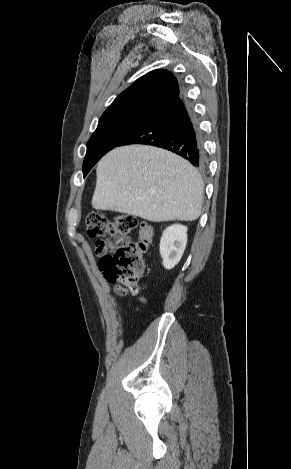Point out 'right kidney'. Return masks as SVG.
Returning a JSON list of instances; mask_svg holds the SVG:
<instances>
[{
    "label": "right kidney",
    "instance_id": "1",
    "mask_svg": "<svg viewBox=\"0 0 291 469\" xmlns=\"http://www.w3.org/2000/svg\"><path fill=\"white\" fill-rule=\"evenodd\" d=\"M187 244V227L174 224L167 227L160 240V255L166 269L174 268L180 261Z\"/></svg>",
    "mask_w": 291,
    "mask_h": 469
}]
</instances>
